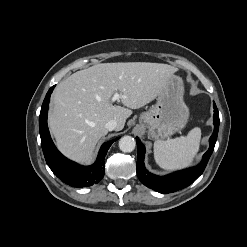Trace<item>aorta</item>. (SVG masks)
Segmentation results:
<instances>
[{"label":"aorta","mask_w":247,"mask_h":247,"mask_svg":"<svg viewBox=\"0 0 247 247\" xmlns=\"http://www.w3.org/2000/svg\"><path fill=\"white\" fill-rule=\"evenodd\" d=\"M135 146L136 141L131 136H123L119 141V148L123 152H132Z\"/></svg>","instance_id":"762f6f07"}]
</instances>
